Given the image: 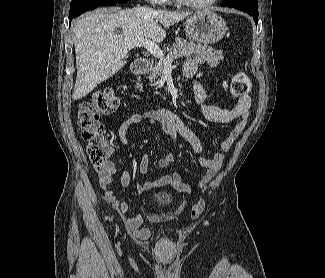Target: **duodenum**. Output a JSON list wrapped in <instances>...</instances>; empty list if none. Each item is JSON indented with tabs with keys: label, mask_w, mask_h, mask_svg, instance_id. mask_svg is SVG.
Masks as SVG:
<instances>
[{
	"label": "duodenum",
	"mask_w": 325,
	"mask_h": 278,
	"mask_svg": "<svg viewBox=\"0 0 325 278\" xmlns=\"http://www.w3.org/2000/svg\"><path fill=\"white\" fill-rule=\"evenodd\" d=\"M150 62L145 58H138L132 66V74L135 79L142 78L147 72Z\"/></svg>",
	"instance_id": "obj_1"
}]
</instances>
